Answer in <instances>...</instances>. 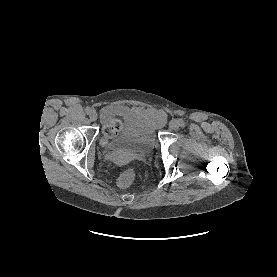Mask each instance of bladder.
<instances>
[{"mask_svg":"<svg viewBox=\"0 0 277 277\" xmlns=\"http://www.w3.org/2000/svg\"><path fill=\"white\" fill-rule=\"evenodd\" d=\"M159 123L145 114L130 115L124 120L119 132L106 143L114 153L148 154L157 142Z\"/></svg>","mask_w":277,"mask_h":277,"instance_id":"obj_1","label":"bladder"}]
</instances>
